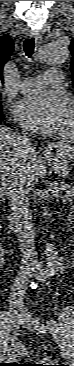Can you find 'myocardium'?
<instances>
[{"mask_svg":"<svg viewBox=\"0 0 74 366\" xmlns=\"http://www.w3.org/2000/svg\"><path fill=\"white\" fill-rule=\"evenodd\" d=\"M68 133H74V110L72 109L71 111V125L70 127L67 129Z\"/></svg>","mask_w":74,"mask_h":366,"instance_id":"myocardium-1","label":"myocardium"}]
</instances>
